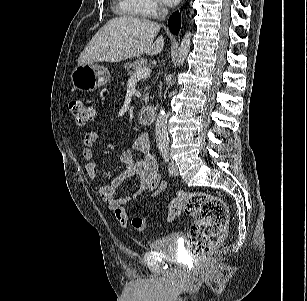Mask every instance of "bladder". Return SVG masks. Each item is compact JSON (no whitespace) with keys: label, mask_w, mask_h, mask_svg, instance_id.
Segmentation results:
<instances>
[{"label":"bladder","mask_w":307,"mask_h":301,"mask_svg":"<svg viewBox=\"0 0 307 301\" xmlns=\"http://www.w3.org/2000/svg\"><path fill=\"white\" fill-rule=\"evenodd\" d=\"M181 238L179 233H169L153 240L150 250L159 253L169 259L178 258V241Z\"/></svg>","instance_id":"bladder-1"}]
</instances>
